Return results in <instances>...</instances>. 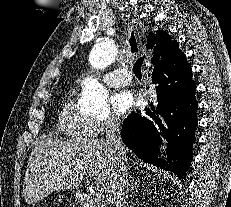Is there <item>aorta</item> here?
<instances>
[{"mask_svg":"<svg viewBox=\"0 0 231 207\" xmlns=\"http://www.w3.org/2000/svg\"><path fill=\"white\" fill-rule=\"evenodd\" d=\"M117 52L112 40L99 41L90 51L89 63L95 70L105 69L113 63ZM107 99V89L96 78H87L80 95V106L92 113L107 112L109 109Z\"/></svg>","mask_w":231,"mask_h":207,"instance_id":"obj_1","label":"aorta"}]
</instances>
